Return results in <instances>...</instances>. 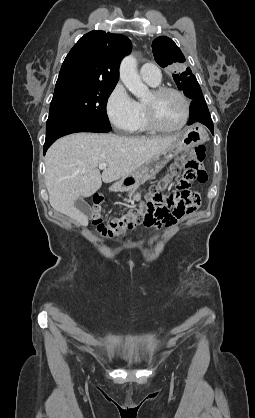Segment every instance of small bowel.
<instances>
[{
  "label": "small bowel",
  "mask_w": 255,
  "mask_h": 418,
  "mask_svg": "<svg viewBox=\"0 0 255 418\" xmlns=\"http://www.w3.org/2000/svg\"><path fill=\"white\" fill-rule=\"evenodd\" d=\"M176 221L173 219V221L171 222V224L170 225H172V224H174Z\"/></svg>",
  "instance_id": "c3829d8e"
}]
</instances>
